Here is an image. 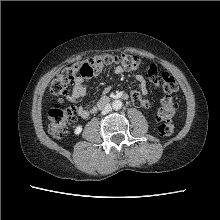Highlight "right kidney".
I'll return each instance as SVG.
<instances>
[{"label": "right kidney", "mask_w": 220, "mask_h": 220, "mask_svg": "<svg viewBox=\"0 0 220 220\" xmlns=\"http://www.w3.org/2000/svg\"><path fill=\"white\" fill-rule=\"evenodd\" d=\"M82 132V126L78 125L75 129H74V134L75 135H79Z\"/></svg>", "instance_id": "obj_1"}]
</instances>
